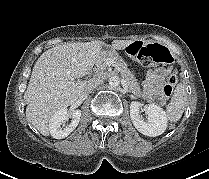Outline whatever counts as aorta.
Masks as SVG:
<instances>
[{
    "mask_svg": "<svg viewBox=\"0 0 209 179\" xmlns=\"http://www.w3.org/2000/svg\"><path fill=\"white\" fill-rule=\"evenodd\" d=\"M120 83V79L118 76H111L109 79V85L111 87H117Z\"/></svg>",
    "mask_w": 209,
    "mask_h": 179,
    "instance_id": "aorta-1",
    "label": "aorta"
}]
</instances>
